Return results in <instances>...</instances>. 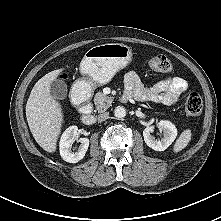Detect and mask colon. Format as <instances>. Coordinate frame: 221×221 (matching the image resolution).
Returning <instances> with one entry per match:
<instances>
[{"instance_id": "obj_1", "label": "colon", "mask_w": 221, "mask_h": 221, "mask_svg": "<svg viewBox=\"0 0 221 221\" xmlns=\"http://www.w3.org/2000/svg\"><path fill=\"white\" fill-rule=\"evenodd\" d=\"M149 66L158 72L168 73L172 70V63L168 57L162 54L153 55L149 59ZM203 101L196 91L189 93L185 103V110L188 116L197 117L201 114Z\"/></svg>"}]
</instances>
